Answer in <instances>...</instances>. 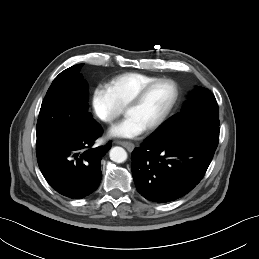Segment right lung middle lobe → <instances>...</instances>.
Segmentation results:
<instances>
[{"label": "right lung middle lobe", "instance_id": "right-lung-middle-lobe-1", "mask_svg": "<svg viewBox=\"0 0 259 259\" xmlns=\"http://www.w3.org/2000/svg\"><path fill=\"white\" fill-rule=\"evenodd\" d=\"M83 65L64 70L49 87L37 122V144L52 132L76 130L94 120L87 112L88 84L80 73Z\"/></svg>", "mask_w": 259, "mask_h": 259}]
</instances>
